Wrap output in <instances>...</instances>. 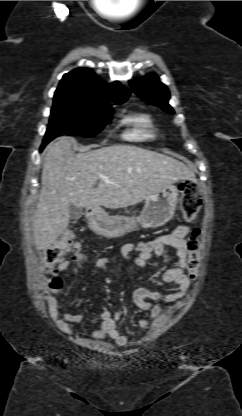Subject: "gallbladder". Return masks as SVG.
I'll list each match as a JSON object with an SVG mask.
<instances>
[{
	"instance_id": "gallbladder-1",
	"label": "gallbladder",
	"mask_w": 242,
	"mask_h": 416,
	"mask_svg": "<svg viewBox=\"0 0 242 416\" xmlns=\"http://www.w3.org/2000/svg\"><path fill=\"white\" fill-rule=\"evenodd\" d=\"M84 214L82 208H78L74 205H70L69 207V215L71 219H79Z\"/></svg>"
}]
</instances>
